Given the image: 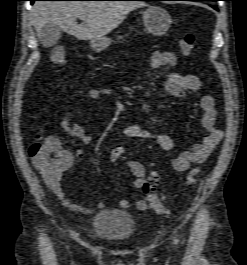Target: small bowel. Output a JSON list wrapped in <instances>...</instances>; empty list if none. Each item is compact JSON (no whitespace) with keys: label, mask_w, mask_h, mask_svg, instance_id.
<instances>
[{"label":"small bowel","mask_w":247,"mask_h":265,"mask_svg":"<svg viewBox=\"0 0 247 265\" xmlns=\"http://www.w3.org/2000/svg\"><path fill=\"white\" fill-rule=\"evenodd\" d=\"M176 63L177 58L174 53L156 51L152 55L150 66L152 69L174 68ZM164 83L167 91L171 95L179 98H183L186 94H192L202 89V82L197 76L190 74L182 75L175 71H170L166 74ZM112 93L113 91L111 88H92L88 91V96L91 99H99L104 96H110ZM198 105L203 111L201 123L204 129L208 132V135L204 137L201 143L192 145L189 150L181 152L175 159H173L172 167L178 172H185L192 164L203 163L206 161V159L216 150L223 138V131L216 126L218 112L214 97L211 95H202L199 98ZM73 116V110L67 111L62 116L60 120L61 129L76 141L83 144L90 143L92 140L91 135L84 127L73 121ZM123 135L132 139L153 140L164 151H171L175 147L174 140L170 136L150 131L137 124L126 125L123 128ZM45 142L47 144H55L61 147L59 138L54 135L46 137ZM64 152L69 157L68 170H70L76 162L80 161L83 157V151L80 149L75 151L64 150ZM33 161L36 167L41 170L46 184L64 207L85 214L93 212L92 209L76 204L67 198L62 185L64 173H50L42 169L35 160ZM127 166L134 177L133 186L140 189L142 193L135 203L136 208L140 211H144L148 207L149 194L151 191V185L146 177L145 167L141 162L136 160L128 161ZM119 204L122 208L130 207V202L126 199H121ZM97 208H105V203L99 202Z\"/></svg>","instance_id":"obj_1"}]
</instances>
